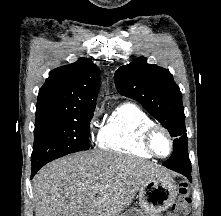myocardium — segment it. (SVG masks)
Wrapping results in <instances>:
<instances>
[{
    "mask_svg": "<svg viewBox=\"0 0 221 216\" xmlns=\"http://www.w3.org/2000/svg\"><path fill=\"white\" fill-rule=\"evenodd\" d=\"M161 133L163 134L169 143V151L167 154H160L156 150L154 146V137L156 134ZM141 144L142 147L149 152L151 155L156 156L158 158H165L172 154L174 150V141L173 137L170 132L162 125L159 124H152L151 126L145 128L141 135Z\"/></svg>",
    "mask_w": 221,
    "mask_h": 216,
    "instance_id": "f54148a6",
    "label": "myocardium"
}]
</instances>
